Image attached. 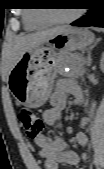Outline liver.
I'll use <instances>...</instances> for the list:
<instances>
[{
    "label": "liver",
    "instance_id": "6515ba94",
    "mask_svg": "<svg viewBox=\"0 0 104 169\" xmlns=\"http://www.w3.org/2000/svg\"><path fill=\"white\" fill-rule=\"evenodd\" d=\"M68 26H57L34 33L19 35L14 42L10 58V70L20 60L23 54L43 43L53 35L67 30Z\"/></svg>",
    "mask_w": 104,
    "mask_h": 169
}]
</instances>
